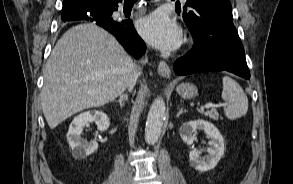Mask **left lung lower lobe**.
<instances>
[{
    "label": "left lung lower lobe",
    "instance_id": "0a47b994",
    "mask_svg": "<svg viewBox=\"0 0 293 184\" xmlns=\"http://www.w3.org/2000/svg\"><path fill=\"white\" fill-rule=\"evenodd\" d=\"M195 41L186 56L174 64L178 75L202 71L232 72L250 78L243 45L233 22H223L221 29H189Z\"/></svg>",
    "mask_w": 293,
    "mask_h": 184
}]
</instances>
